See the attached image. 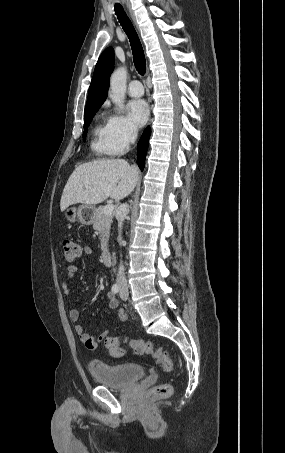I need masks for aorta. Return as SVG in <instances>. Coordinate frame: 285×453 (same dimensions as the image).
Here are the masks:
<instances>
[{"label": "aorta", "instance_id": "1", "mask_svg": "<svg viewBox=\"0 0 285 453\" xmlns=\"http://www.w3.org/2000/svg\"><path fill=\"white\" fill-rule=\"evenodd\" d=\"M126 80L127 69L125 67H119L113 72L110 78L109 96L119 110H122L124 108Z\"/></svg>", "mask_w": 285, "mask_h": 453}]
</instances>
